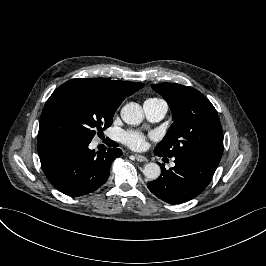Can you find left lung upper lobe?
I'll list each match as a JSON object with an SVG mask.
<instances>
[{
  "label": "left lung upper lobe",
  "instance_id": "5c2ea615",
  "mask_svg": "<svg viewBox=\"0 0 266 266\" xmlns=\"http://www.w3.org/2000/svg\"><path fill=\"white\" fill-rule=\"evenodd\" d=\"M151 87L168 102L174 120L154 150L167 157L196 154L219 162L223 154V132L212 103L192 87L175 83Z\"/></svg>",
  "mask_w": 266,
  "mask_h": 266
}]
</instances>
